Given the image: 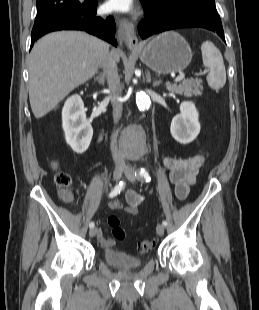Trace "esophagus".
Instances as JSON below:
<instances>
[{"instance_id": "obj_1", "label": "esophagus", "mask_w": 259, "mask_h": 310, "mask_svg": "<svg viewBox=\"0 0 259 310\" xmlns=\"http://www.w3.org/2000/svg\"><path fill=\"white\" fill-rule=\"evenodd\" d=\"M117 23L120 39L125 42L128 48H138L139 41L135 32L134 24L125 18H118Z\"/></svg>"}]
</instances>
